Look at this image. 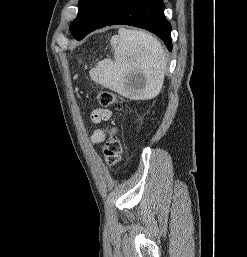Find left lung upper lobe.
I'll list each match as a JSON object with an SVG mask.
<instances>
[{
  "mask_svg": "<svg viewBox=\"0 0 247 257\" xmlns=\"http://www.w3.org/2000/svg\"><path fill=\"white\" fill-rule=\"evenodd\" d=\"M96 1L97 0H79L78 15L70 25V32L73 36L80 31Z\"/></svg>",
  "mask_w": 247,
  "mask_h": 257,
  "instance_id": "obj_1",
  "label": "left lung upper lobe"
}]
</instances>
